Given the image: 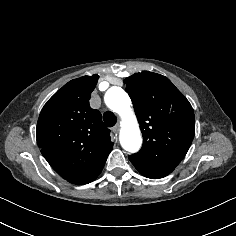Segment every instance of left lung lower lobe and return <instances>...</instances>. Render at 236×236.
<instances>
[{"mask_svg": "<svg viewBox=\"0 0 236 236\" xmlns=\"http://www.w3.org/2000/svg\"><path fill=\"white\" fill-rule=\"evenodd\" d=\"M130 161L135 166V168L140 172V174L151 179L163 178L174 170V168H159V167L149 166L139 162H134L131 159Z\"/></svg>", "mask_w": 236, "mask_h": 236, "instance_id": "obj_1", "label": "left lung lower lobe"}]
</instances>
